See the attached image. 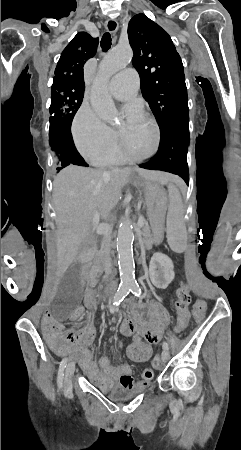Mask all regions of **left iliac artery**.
<instances>
[{"label": "left iliac artery", "instance_id": "obj_1", "mask_svg": "<svg viewBox=\"0 0 241 450\" xmlns=\"http://www.w3.org/2000/svg\"><path fill=\"white\" fill-rule=\"evenodd\" d=\"M131 292L135 295V296H140L141 295V289L139 287V285H132L131 287ZM163 349L168 350L169 349V345L167 342H163Z\"/></svg>", "mask_w": 241, "mask_h": 450}]
</instances>
